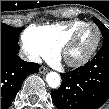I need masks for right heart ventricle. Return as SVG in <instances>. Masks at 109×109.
Masks as SVG:
<instances>
[{
	"mask_svg": "<svg viewBox=\"0 0 109 109\" xmlns=\"http://www.w3.org/2000/svg\"><path fill=\"white\" fill-rule=\"evenodd\" d=\"M85 23L87 22L84 20L74 19L51 25L31 26L25 31V35L44 39L55 48H60L69 35Z\"/></svg>",
	"mask_w": 109,
	"mask_h": 109,
	"instance_id": "right-heart-ventricle-1",
	"label": "right heart ventricle"
}]
</instances>
